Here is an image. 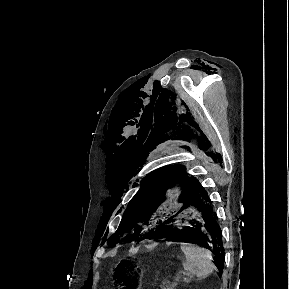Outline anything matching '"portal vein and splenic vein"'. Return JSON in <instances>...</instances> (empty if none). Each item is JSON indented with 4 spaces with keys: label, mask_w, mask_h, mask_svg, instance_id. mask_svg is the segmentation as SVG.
Here are the masks:
<instances>
[{
    "label": "portal vein and splenic vein",
    "mask_w": 289,
    "mask_h": 289,
    "mask_svg": "<svg viewBox=\"0 0 289 289\" xmlns=\"http://www.w3.org/2000/svg\"><path fill=\"white\" fill-rule=\"evenodd\" d=\"M182 280V277H180V276H177V277H175L174 278V282L175 283H178V282H180ZM186 280V279H185Z\"/></svg>",
    "instance_id": "1"
}]
</instances>
